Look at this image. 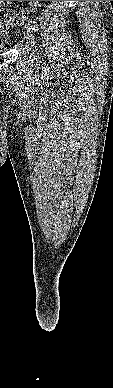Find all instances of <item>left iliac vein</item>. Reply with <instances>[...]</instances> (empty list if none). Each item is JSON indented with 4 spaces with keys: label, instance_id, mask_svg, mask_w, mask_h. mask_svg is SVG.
Instances as JSON below:
<instances>
[{
    "label": "left iliac vein",
    "instance_id": "1",
    "mask_svg": "<svg viewBox=\"0 0 113 388\" xmlns=\"http://www.w3.org/2000/svg\"><path fill=\"white\" fill-rule=\"evenodd\" d=\"M24 36H25L26 41L29 44H31V45L34 44V35L32 32L31 26L29 24L26 25V27H25Z\"/></svg>",
    "mask_w": 113,
    "mask_h": 388
}]
</instances>
